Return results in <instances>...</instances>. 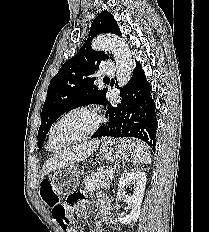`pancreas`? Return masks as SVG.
Returning a JSON list of instances; mask_svg holds the SVG:
<instances>
[{"label": "pancreas", "instance_id": "pancreas-1", "mask_svg": "<svg viewBox=\"0 0 209 232\" xmlns=\"http://www.w3.org/2000/svg\"><path fill=\"white\" fill-rule=\"evenodd\" d=\"M111 169V167H101L92 172L91 175L86 176L84 179L86 189L88 191H94L100 187L103 189H109L112 177L109 176L108 172Z\"/></svg>", "mask_w": 209, "mask_h": 232}]
</instances>
